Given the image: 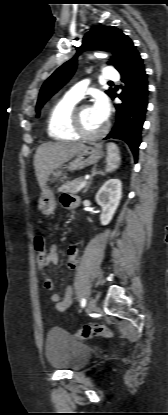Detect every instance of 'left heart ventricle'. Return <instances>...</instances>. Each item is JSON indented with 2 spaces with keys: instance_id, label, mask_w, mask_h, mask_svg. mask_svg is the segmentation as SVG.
I'll return each mask as SVG.
<instances>
[{
  "instance_id": "b2bd125f",
  "label": "left heart ventricle",
  "mask_w": 168,
  "mask_h": 415,
  "mask_svg": "<svg viewBox=\"0 0 168 415\" xmlns=\"http://www.w3.org/2000/svg\"><path fill=\"white\" fill-rule=\"evenodd\" d=\"M80 119L84 128L88 132H96L103 127V123L99 122L92 111L90 106L83 107L80 110Z\"/></svg>"
}]
</instances>
